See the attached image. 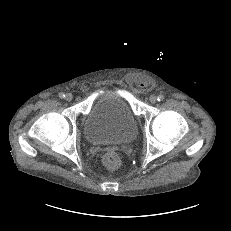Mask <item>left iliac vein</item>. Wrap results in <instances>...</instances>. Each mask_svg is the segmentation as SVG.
Segmentation results:
<instances>
[{
  "label": "left iliac vein",
  "instance_id": "left-iliac-vein-1",
  "mask_svg": "<svg viewBox=\"0 0 231 231\" xmlns=\"http://www.w3.org/2000/svg\"><path fill=\"white\" fill-rule=\"evenodd\" d=\"M149 101H150L152 104H154V103L157 102V97L154 96V95H151V96L149 97Z\"/></svg>",
  "mask_w": 231,
  "mask_h": 231
}]
</instances>
